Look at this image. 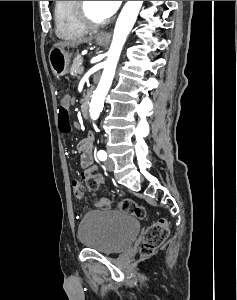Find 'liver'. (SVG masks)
<instances>
[{"instance_id": "6515ba94", "label": "liver", "mask_w": 237, "mask_h": 300, "mask_svg": "<svg viewBox=\"0 0 237 300\" xmlns=\"http://www.w3.org/2000/svg\"><path fill=\"white\" fill-rule=\"evenodd\" d=\"M88 41H93V37H85V39H80L77 43H56L53 47H58V49H64V47H75V45H80V43H88Z\"/></svg>"}]
</instances>
